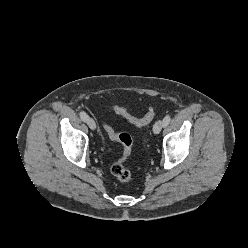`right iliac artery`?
Here are the masks:
<instances>
[{
  "label": "right iliac artery",
  "instance_id": "right-iliac-artery-1",
  "mask_svg": "<svg viewBox=\"0 0 248 248\" xmlns=\"http://www.w3.org/2000/svg\"><path fill=\"white\" fill-rule=\"evenodd\" d=\"M80 118L82 119V121L85 122L88 118V115L84 111H82L80 112Z\"/></svg>",
  "mask_w": 248,
  "mask_h": 248
}]
</instances>
